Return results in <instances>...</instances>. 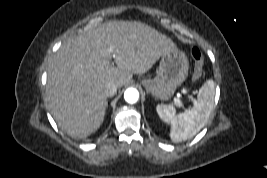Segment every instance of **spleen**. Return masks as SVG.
<instances>
[{"mask_svg":"<svg viewBox=\"0 0 267 178\" xmlns=\"http://www.w3.org/2000/svg\"><path fill=\"white\" fill-rule=\"evenodd\" d=\"M215 85L213 80H207L200 88L197 102L189 112L176 115L172 105H157L159 117L171 124L170 138L181 142L196 135L206 124L213 109Z\"/></svg>","mask_w":267,"mask_h":178,"instance_id":"obj_1","label":"spleen"}]
</instances>
